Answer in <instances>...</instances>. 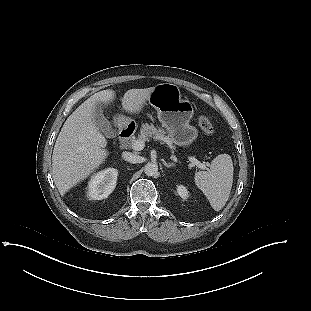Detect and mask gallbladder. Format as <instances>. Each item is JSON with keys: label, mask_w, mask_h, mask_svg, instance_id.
Instances as JSON below:
<instances>
[{"label": "gallbladder", "mask_w": 311, "mask_h": 311, "mask_svg": "<svg viewBox=\"0 0 311 311\" xmlns=\"http://www.w3.org/2000/svg\"><path fill=\"white\" fill-rule=\"evenodd\" d=\"M95 120L98 126L101 128L102 132L106 136L113 137L114 130L111 128L107 119L102 115L100 109H98L96 112Z\"/></svg>", "instance_id": "obj_1"}]
</instances>
